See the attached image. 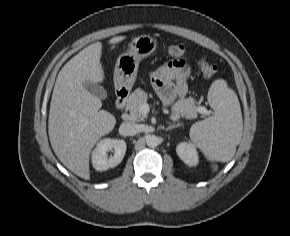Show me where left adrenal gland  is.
Listing matches in <instances>:
<instances>
[{"label": "left adrenal gland", "mask_w": 290, "mask_h": 236, "mask_svg": "<svg viewBox=\"0 0 290 236\" xmlns=\"http://www.w3.org/2000/svg\"><path fill=\"white\" fill-rule=\"evenodd\" d=\"M179 126H181L180 123L174 124V125L168 126L167 128H165V130L168 131V130H171V129H175V128L179 127Z\"/></svg>", "instance_id": "obj_1"}]
</instances>
